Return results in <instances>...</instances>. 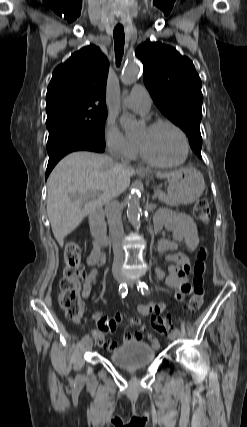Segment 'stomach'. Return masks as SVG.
Here are the masks:
<instances>
[{"instance_id": "1", "label": "stomach", "mask_w": 247, "mask_h": 427, "mask_svg": "<svg viewBox=\"0 0 247 427\" xmlns=\"http://www.w3.org/2000/svg\"><path fill=\"white\" fill-rule=\"evenodd\" d=\"M168 196L177 204L188 205L200 198L205 189L203 175L195 168L188 167L173 172L168 178Z\"/></svg>"}]
</instances>
